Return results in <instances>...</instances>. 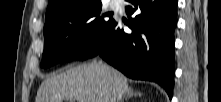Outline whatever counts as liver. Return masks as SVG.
<instances>
[{"label": "liver", "mask_w": 221, "mask_h": 102, "mask_svg": "<svg viewBox=\"0 0 221 102\" xmlns=\"http://www.w3.org/2000/svg\"><path fill=\"white\" fill-rule=\"evenodd\" d=\"M130 89L123 74L106 64L93 62L45 79L36 102H122Z\"/></svg>", "instance_id": "obj_1"}]
</instances>
